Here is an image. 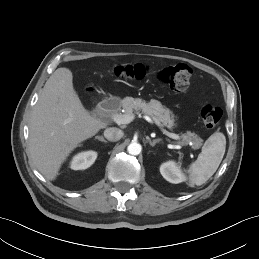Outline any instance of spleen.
<instances>
[{"label": "spleen", "instance_id": "1", "mask_svg": "<svg viewBox=\"0 0 259 259\" xmlns=\"http://www.w3.org/2000/svg\"><path fill=\"white\" fill-rule=\"evenodd\" d=\"M226 149V138L223 133H213L204 143L201 153L189 169V185L201 186L216 172Z\"/></svg>", "mask_w": 259, "mask_h": 259}]
</instances>
